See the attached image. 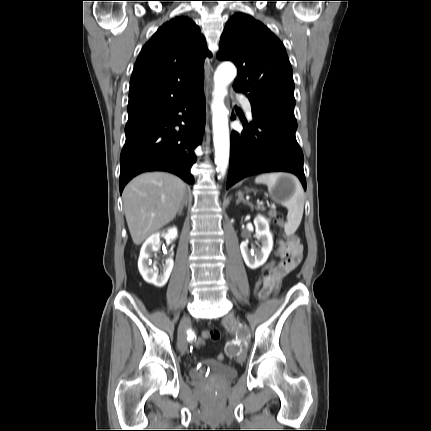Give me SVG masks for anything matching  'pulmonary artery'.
I'll return each instance as SVG.
<instances>
[{"instance_id":"pulmonary-artery-1","label":"pulmonary artery","mask_w":431,"mask_h":431,"mask_svg":"<svg viewBox=\"0 0 431 431\" xmlns=\"http://www.w3.org/2000/svg\"><path fill=\"white\" fill-rule=\"evenodd\" d=\"M238 99H239L240 103L242 104V106H243L244 110L246 111V113L249 114V115H251L252 105H251L250 101L246 97H244L242 95H239Z\"/></svg>"}]
</instances>
